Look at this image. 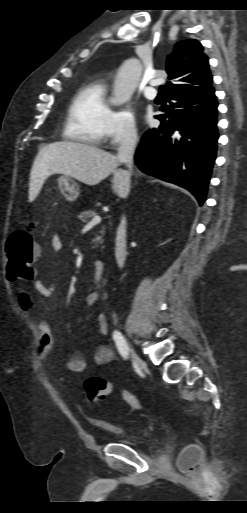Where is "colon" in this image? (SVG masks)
<instances>
[{
  "label": "colon",
  "instance_id": "5ec220e1",
  "mask_svg": "<svg viewBox=\"0 0 247 513\" xmlns=\"http://www.w3.org/2000/svg\"><path fill=\"white\" fill-rule=\"evenodd\" d=\"M37 247L34 240V224L14 232L7 244L8 276L13 281L32 278L34 274V258ZM87 399L97 405L104 402L114 391L115 387L102 376H91L84 383ZM123 401L134 410L143 408L140 399L131 391L120 390ZM199 452L196 448H190L182 453L178 459V465L183 473L193 472L199 464Z\"/></svg>",
  "mask_w": 247,
  "mask_h": 513
}]
</instances>
